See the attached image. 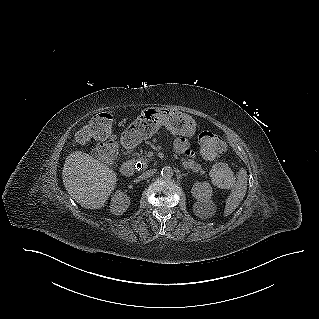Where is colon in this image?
Masks as SVG:
<instances>
[{"label":"colon","mask_w":319,"mask_h":319,"mask_svg":"<svg viewBox=\"0 0 319 319\" xmlns=\"http://www.w3.org/2000/svg\"><path fill=\"white\" fill-rule=\"evenodd\" d=\"M117 132L110 123L109 115L97 114L78 134L76 144L88 140L99 142L95 154L106 163H112L118 157ZM201 152L205 159L216 161L224 151V142L220 136L213 132H202L199 136ZM212 177L215 182L222 186H230L234 182L232 172L221 162H215L212 167Z\"/></svg>","instance_id":"1"}]
</instances>
